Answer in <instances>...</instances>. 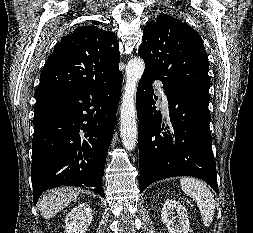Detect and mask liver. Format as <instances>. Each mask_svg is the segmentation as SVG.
I'll return each instance as SVG.
<instances>
[{"mask_svg":"<svg viewBox=\"0 0 253 233\" xmlns=\"http://www.w3.org/2000/svg\"><path fill=\"white\" fill-rule=\"evenodd\" d=\"M77 188H57L43 195L39 208L43 218L50 219L79 195Z\"/></svg>","mask_w":253,"mask_h":233,"instance_id":"1","label":"liver"}]
</instances>
